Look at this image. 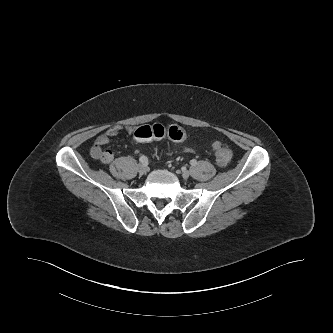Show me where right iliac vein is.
<instances>
[{
    "label": "right iliac vein",
    "mask_w": 333,
    "mask_h": 333,
    "mask_svg": "<svg viewBox=\"0 0 333 333\" xmlns=\"http://www.w3.org/2000/svg\"><path fill=\"white\" fill-rule=\"evenodd\" d=\"M137 169H138V172L142 175L145 174L146 170H147L146 165H144V164H139Z\"/></svg>",
    "instance_id": "1"
}]
</instances>
